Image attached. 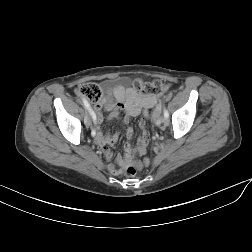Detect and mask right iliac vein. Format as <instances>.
<instances>
[{
    "mask_svg": "<svg viewBox=\"0 0 252 252\" xmlns=\"http://www.w3.org/2000/svg\"><path fill=\"white\" fill-rule=\"evenodd\" d=\"M84 122L87 126H91L92 125V118H91V114H87L85 116Z\"/></svg>",
    "mask_w": 252,
    "mask_h": 252,
    "instance_id": "1",
    "label": "right iliac vein"
}]
</instances>
